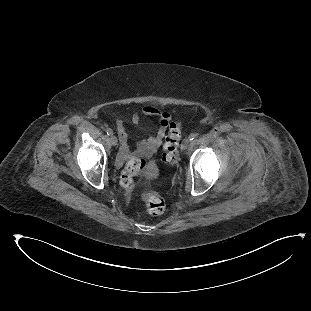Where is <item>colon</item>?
Segmentation results:
<instances>
[{
	"label": "colon",
	"mask_w": 311,
	"mask_h": 311,
	"mask_svg": "<svg viewBox=\"0 0 311 311\" xmlns=\"http://www.w3.org/2000/svg\"><path fill=\"white\" fill-rule=\"evenodd\" d=\"M181 132L180 123H170L165 135L162 154V160L168 166L174 165L177 161L178 144ZM143 165L144 162L141 157H132L127 167L121 173V184L127 192H131L134 189L133 175L136 171L141 170ZM142 196L150 213L160 214L164 211V201L158 193L149 189H144Z\"/></svg>",
	"instance_id": "obj_1"
}]
</instances>
